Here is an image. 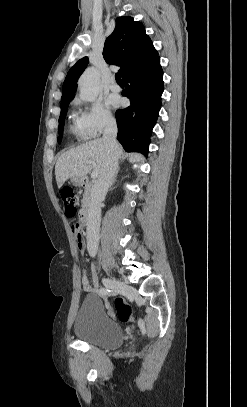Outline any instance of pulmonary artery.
Masks as SVG:
<instances>
[{
    "instance_id": "pulmonary-artery-1",
    "label": "pulmonary artery",
    "mask_w": 247,
    "mask_h": 407,
    "mask_svg": "<svg viewBox=\"0 0 247 407\" xmlns=\"http://www.w3.org/2000/svg\"><path fill=\"white\" fill-rule=\"evenodd\" d=\"M110 89L114 92H119L120 91V86L114 81L112 80L110 82Z\"/></svg>"
}]
</instances>
